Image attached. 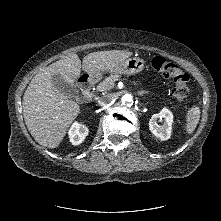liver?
<instances>
[{"label": "liver", "mask_w": 221, "mask_h": 221, "mask_svg": "<svg viewBox=\"0 0 221 221\" xmlns=\"http://www.w3.org/2000/svg\"><path fill=\"white\" fill-rule=\"evenodd\" d=\"M132 55L124 50L98 51L86 55L81 65L78 55L72 53L40 71L29 83L22 102L25 124L35 141L57 148L80 113V106L55 88V74L74 85L81 68L89 75L110 71Z\"/></svg>", "instance_id": "obj_1"}]
</instances>
